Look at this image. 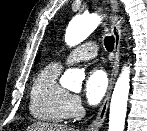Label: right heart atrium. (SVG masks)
<instances>
[{"mask_svg": "<svg viewBox=\"0 0 147 131\" xmlns=\"http://www.w3.org/2000/svg\"><path fill=\"white\" fill-rule=\"evenodd\" d=\"M83 112V107L81 99L77 95H70L67 106L66 113L68 118H77Z\"/></svg>", "mask_w": 147, "mask_h": 131, "instance_id": "obj_1", "label": "right heart atrium"}]
</instances>
